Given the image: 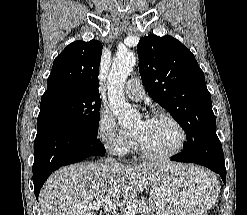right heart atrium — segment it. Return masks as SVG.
I'll return each instance as SVG.
<instances>
[{
	"label": "right heart atrium",
	"mask_w": 247,
	"mask_h": 215,
	"mask_svg": "<svg viewBox=\"0 0 247 215\" xmlns=\"http://www.w3.org/2000/svg\"><path fill=\"white\" fill-rule=\"evenodd\" d=\"M96 134L104 147L119 157L125 156L133 144L132 136L121 129L105 109L100 110Z\"/></svg>",
	"instance_id": "d8ad5b80"
}]
</instances>
